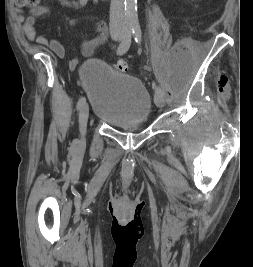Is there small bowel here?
<instances>
[{
  "mask_svg": "<svg viewBox=\"0 0 253 267\" xmlns=\"http://www.w3.org/2000/svg\"><path fill=\"white\" fill-rule=\"evenodd\" d=\"M63 6L71 9L79 10L84 8L89 2H97L99 0H58ZM48 14L46 7L35 8L29 16H27L22 23V30L29 41H36L38 44L48 47L58 57H63L65 54L64 46L56 39H48L40 35L35 28V19L39 16ZM83 21L82 18H73L70 20L71 26H77ZM88 22L95 30L93 37H81L79 47L80 54L83 57L91 56L96 49L104 42L107 36V27L105 23L98 19H89ZM78 62L77 59L73 60V64Z\"/></svg>",
  "mask_w": 253,
  "mask_h": 267,
  "instance_id": "c3829d8e",
  "label": "small bowel"
}]
</instances>
